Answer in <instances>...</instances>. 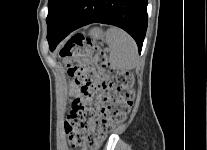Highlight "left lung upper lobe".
Segmentation results:
<instances>
[{"label":"left lung upper lobe","mask_w":207,"mask_h":150,"mask_svg":"<svg viewBox=\"0 0 207 150\" xmlns=\"http://www.w3.org/2000/svg\"><path fill=\"white\" fill-rule=\"evenodd\" d=\"M68 1L69 0H49L48 16L46 19L48 30L53 27Z\"/></svg>","instance_id":"obj_1"}]
</instances>
